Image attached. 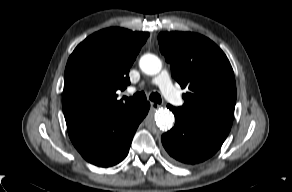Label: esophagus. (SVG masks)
<instances>
[{
	"label": "esophagus",
	"mask_w": 292,
	"mask_h": 192,
	"mask_svg": "<svg viewBox=\"0 0 292 192\" xmlns=\"http://www.w3.org/2000/svg\"><path fill=\"white\" fill-rule=\"evenodd\" d=\"M150 106L152 110H156L160 107V105L158 103L155 102H150Z\"/></svg>",
	"instance_id": "esophagus-1"
}]
</instances>
